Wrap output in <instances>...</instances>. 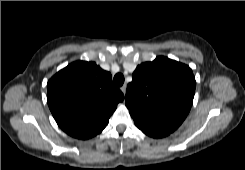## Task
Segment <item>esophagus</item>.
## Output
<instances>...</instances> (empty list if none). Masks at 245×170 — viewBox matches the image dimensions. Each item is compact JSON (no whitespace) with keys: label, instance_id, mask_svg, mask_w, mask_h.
Segmentation results:
<instances>
[{"label":"esophagus","instance_id":"1","mask_svg":"<svg viewBox=\"0 0 245 170\" xmlns=\"http://www.w3.org/2000/svg\"><path fill=\"white\" fill-rule=\"evenodd\" d=\"M122 93L125 95L126 93V85H123L121 88Z\"/></svg>","mask_w":245,"mask_h":170}]
</instances>
